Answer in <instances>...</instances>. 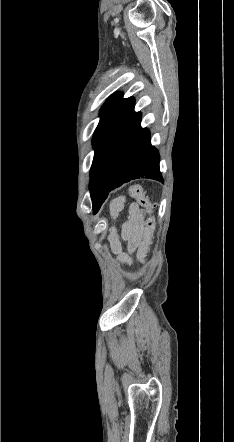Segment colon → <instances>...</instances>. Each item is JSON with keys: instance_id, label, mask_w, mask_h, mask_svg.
<instances>
[{"instance_id": "obj_1", "label": "colon", "mask_w": 234, "mask_h": 442, "mask_svg": "<svg viewBox=\"0 0 234 442\" xmlns=\"http://www.w3.org/2000/svg\"><path fill=\"white\" fill-rule=\"evenodd\" d=\"M129 191L131 195L139 202V204L146 209L149 213H152L154 210V204L150 201L149 197L144 192L143 188L138 185L134 184L131 185L129 188ZM155 225V219L154 217H151L146 222V232H145V240L143 247L141 249V254L138 255V260L142 266H145L147 264L148 259L145 257V253L147 251L148 245L150 244L152 232Z\"/></svg>"}]
</instances>
